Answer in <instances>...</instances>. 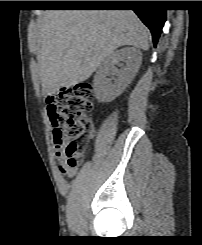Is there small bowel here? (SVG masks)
<instances>
[{"instance_id":"small-bowel-1","label":"small bowel","mask_w":202,"mask_h":245,"mask_svg":"<svg viewBox=\"0 0 202 245\" xmlns=\"http://www.w3.org/2000/svg\"><path fill=\"white\" fill-rule=\"evenodd\" d=\"M47 105H48V111L50 114V118H54V109L56 106V102L53 96H49L46 99ZM63 142L58 141L54 143V155L59 161V170L62 174H64L68 178H72L76 172L77 168L76 167H71L66 164L65 156L63 153Z\"/></svg>"}]
</instances>
